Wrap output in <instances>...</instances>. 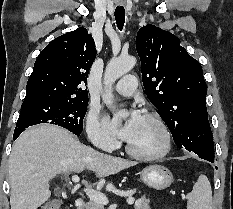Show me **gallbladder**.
<instances>
[{"instance_id":"obj_1","label":"gallbladder","mask_w":233,"mask_h":209,"mask_svg":"<svg viewBox=\"0 0 233 209\" xmlns=\"http://www.w3.org/2000/svg\"><path fill=\"white\" fill-rule=\"evenodd\" d=\"M61 192H62V191H61V189H59V188L55 190V194H56V195H61Z\"/></svg>"}]
</instances>
